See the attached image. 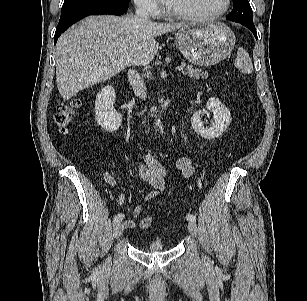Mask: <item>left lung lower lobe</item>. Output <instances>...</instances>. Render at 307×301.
<instances>
[{
	"label": "left lung lower lobe",
	"instance_id": "left-lung-lower-lobe-1",
	"mask_svg": "<svg viewBox=\"0 0 307 301\" xmlns=\"http://www.w3.org/2000/svg\"><path fill=\"white\" fill-rule=\"evenodd\" d=\"M238 23H240V22H238ZM241 24H243V25H245L246 27H248V28L253 32L254 36H255L256 39H257V32H256V29H255L254 24H247V23H241Z\"/></svg>",
	"mask_w": 307,
	"mask_h": 301
}]
</instances>
